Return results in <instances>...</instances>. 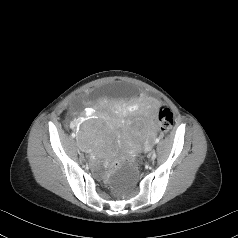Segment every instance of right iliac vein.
<instances>
[{"label":"right iliac vein","mask_w":238,"mask_h":238,"mask_svg":"<svg viewBox=\"0 0 238 238\" xmlns=\"http://www.w3.org/2000/svg\"><path fill=\"white\" fill-rule=\"evenodd\" d=\"M76 152H77V155H81L79 147H76Z\"/></svg>","instance_id":"63e3f726"}]
</instances>
